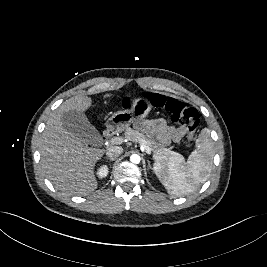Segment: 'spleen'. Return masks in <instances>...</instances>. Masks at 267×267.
Masks as SVG:
<instances>
[{"label":"spleen","mask_w":267,"mask_h":267,"mask_svg":"<svg viewBox=\"0 0 267 267\" xmlns=\"http://www.w3.org/2000/svg\"><path fill=\"white\" fill-rule=\"evenodd\" d=\"M213 147L210 130L204 128L187 162L179 154L155 162L154 172L168 193L177 197L187 195L208 179L214 156Z\"/></svg>","instance_id":"obj_1"}]
</instances>
